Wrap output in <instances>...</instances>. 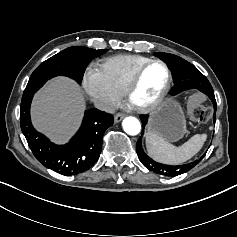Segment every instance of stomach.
<instances>
[{"mask_svg": "<svg viewBox=\"0 0 237 237\" xmlns=\"http://www.w3.org/2000/svg\"><path fill=\"white\" fill-rule=\"evenodd\" d=\"M148 130L160 134L167 142H176L186 133V119L180 104L166 98L150 112Z\"/></svg>", "mask_w": 237, "mask_h": 237, "instance_id": "stomach-1", "label": "stomach"}]
</instances>
